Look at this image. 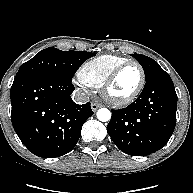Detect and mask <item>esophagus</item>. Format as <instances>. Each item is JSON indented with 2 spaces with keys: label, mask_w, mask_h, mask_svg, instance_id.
I'll use <instances>...</instances> for the list:
<instances>
[{
  "label": "esophagus",
  "mask_w": 193,
  "mask_h": 193,
  "mask_svg": "<svg viewBox=\"0 0 193 193\" xmlns=\"http://www.w3.org/2000/svg\"><path fill=\"white\" fill-rule=\"evenodd\" d=\"M101 107V105L100 104H98V103H95V102H93V103H91V109L95 112L97 109H99Z\"/></svg>",
  "instance_id": "esophagus-1"
}]
</instances>
